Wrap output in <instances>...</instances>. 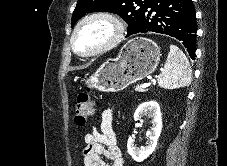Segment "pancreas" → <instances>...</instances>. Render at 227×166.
I'll return each instance as SVG.
<instances>
[{
	"label": "pancreas",
	"instance_id": "1",
	"mask_svg": "<svg viewBox=\"0 0 227 166\" xmlns=\"http://www.w3.org/2000/svg\"><path fill=\"white\" fill-rule=\"evenodd\" d=\"M135 91L143 92V91H145V89L141 88V86H137V87H135Z\"/></svg>",
	"mask_w": 227,
	"mask_h": 166
}]
</instances>
